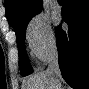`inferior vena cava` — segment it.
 Masks as SVG:
<instances>
[{"mask_svg":"<svg viewBox=\"0 0 89 89\" xmlns=\"http://www.w3.org/2000/svg\"><path fill=\"white\" fill-rule=\"evenodd\" d=\"M47 73L54 75L57 78L61 77L59 64H58V53L56 50L52 51L49 55Z\"/></svg>","mask_w":89,"mask_h":89,"instance_id":"1","label":"inferior vena cava"}]
</instances>
